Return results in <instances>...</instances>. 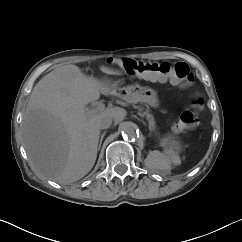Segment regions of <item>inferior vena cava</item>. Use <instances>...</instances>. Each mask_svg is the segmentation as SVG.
<instances>
[{"instance_id": "1", "label": "inferior vena cava", "mask_w": 242, "mask_h": 242, "mask_svg": "<svg viewBox=\"0 0 242 242\" xmlns=\"http://www.w3.org/2000/svg\"><path fill=\"white\" fill-rule=\"evenodd\" d=\"M112 124V118L110 116H102L100 121H99V126L101 129H107L111 126Z\"/></svg>"}]
</instances>
